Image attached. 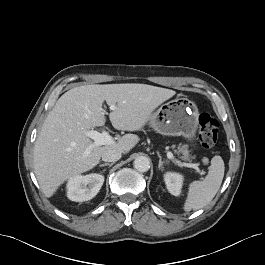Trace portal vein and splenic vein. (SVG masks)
<instances>
[{
	"mask_svg": "<svg viewBox=\"0 0 265 265\" xmlns=\"http://www.w3.org/2000/svg\"><path fill=\"white\" fill-rule=\"evenodd\" d=\"M115 106L111 105L110 110H114ZM84 134L94 140V142L89 146V148L85 151L84 157L88 156L91 149L96 146H102V145H111L114 143L113 138L110 136L108 131H102V133L95 131V130H85L83 131ZM167 157L171 159L175 164H177L180 167H190L197 170V172L200 173V175H204L205 172L201 171L196 164H190V163H184L180 160L176 159L172 152H167Z\"/></svg>",
	"mask_w": 265,
	"mask_h": 265,
	"instance_id": "obj_1",
	"label": "portal vein and splenic vein"
}]
</instances>
